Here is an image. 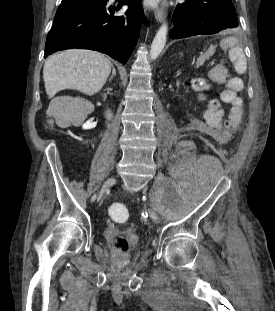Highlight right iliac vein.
<instances>
[{
  "label": "right iliac vein",
  "mask_w": 275,
  "mask_h": 311,
  "mask_svg": "<svg viewBox=\"0 0 275 311\" xmlns=\"http://www.w3.org/2000/svg\"><path fill=\"white\" fill-rule=\"evenodd\" d=\"M116 182V179L115 177H110L108 178L103 186L101 187L100 191H99V194L97 196V200H100L102 198V196L105 194V192L112 186L114 185V183Z\"/></svg>",
  "instance_id": "1"
}]
</instances>
